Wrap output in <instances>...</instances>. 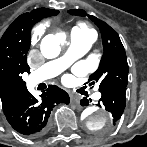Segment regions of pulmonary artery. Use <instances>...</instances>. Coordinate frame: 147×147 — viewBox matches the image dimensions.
Instances as JSON below:
<instances>
[{
  "instance_id": "pulmonary-artery-1",
  "label": "pulmonary artery",
  "mask_w": 147,
  "mask_h": 147,
  "mask_svg": "<svg viewBox=\"0 0 147 147\" xmlns=\"http://www.w3.org/2000/svg\"><path fill=\"white\" fill-rule=\"evenodd\" d=\"M95 38L72 32L71 44L68 51L59 59L50 61L35 71L28 80V86L34 87L38 83L55 77L66 69L74 60L84 55L91 48ZM101 97L99 92L94 94V98Z\"/></svg>"
}]
</instances>
